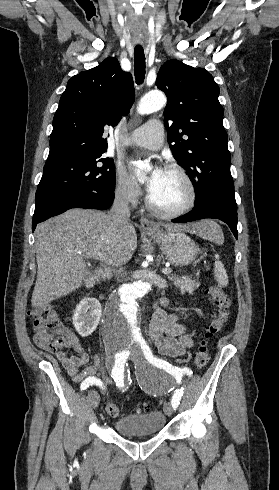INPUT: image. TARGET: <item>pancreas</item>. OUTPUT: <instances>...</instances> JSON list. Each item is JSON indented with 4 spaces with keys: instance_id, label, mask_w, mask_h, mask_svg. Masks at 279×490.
Returning <instances> with one entry per match:
<instances>
[{
    "instance_id": "cf45deb5",
    "label": "pancreas",
    "mask_w": 279,
    "mask_h": 490,
    "mask_svg": "<svg viewBox=\"0 0 279 490\" xmlns=\"http://www.w3.org/2000/svg\"><path fill=\"white\" fill-rule=\"evenodd\" d=\"M167 276L168 280L174 282L181 292H194V288L197 286L195 280H190L189 276H182V278H179L177 274H167Z\"/></svg>"
}]
</instances>
